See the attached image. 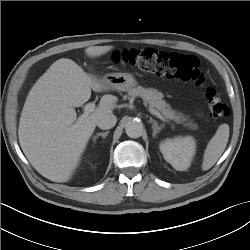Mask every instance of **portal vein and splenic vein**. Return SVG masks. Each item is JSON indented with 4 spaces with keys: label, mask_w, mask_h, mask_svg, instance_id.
I'll return each mask as SVG.
<instances>
[{
    "label": "portal vein and splenic vein",
    "mask_w": 250,
    "mask_h": 250,
    "mask_svg": "<svg viewBox=\"0 0 250 250\" xmlns=\"http://www.w3.org/2000/svg\"><path fill=\"white\" fill-rule=\"evenodd\" d=\"M94 111H95V104H94V102H90V103H87L85 105V107H84V115L87 116V115L91 114ZM150 112H151V114L155 115L156 117H158L162 121H166L164 119V117L158 111H156L154 108H150Z\"/></svg>",
    "instance_id": "18ae733b"
}]
</instances>
